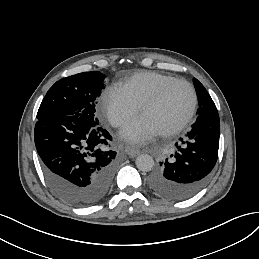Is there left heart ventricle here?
Masks as SVG:
<instances>
[{"mask_svg":"<svg viewBox=\"0 0 259 259\" xmlns=\"http://www.w3.org/2000/svg\"><path fill=\"white\" fill-rule=\"evenodd\" d=\"M191 100L189 88L181 82L174 83L166 90L160 102L142 112L139 119L158 134L162 133L185 116Z\"/></svg>","mask_w":259,"mask_h":259,"instance_id":"left-heart-ventricle-1","label":"left heart ventricle"}]
</instances>
